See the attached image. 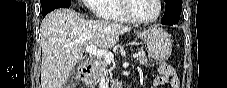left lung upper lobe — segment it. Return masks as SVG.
<instances>
[{
	"mask_svg": "<svg viewBox=\"0 0 227 88\" xmlns=\"http://www.w3.org/2000/svg\"><path fill=\"white\" fill-rule=\"evenodd\" d=\"M165 1V3L167 4L168 2H173V1H181L182 2V0H164Z\"/></svg>",
	"mask_w": 227,
	"mask_h": 88,
	"instance_id": "1",
	"label": "left lung upper lobe"
}]
</instances>
